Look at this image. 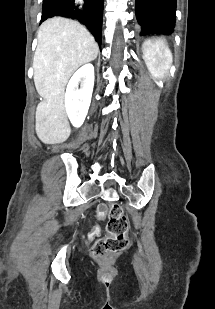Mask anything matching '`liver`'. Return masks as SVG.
Wrapping results in <instances>:
<instances>
[{
    "label": "liver",
    "instance_id": "1",
    "mask_svg": "<svg viewBox=\"0 0 215 309\" xmlns=\"http://www.w3.org/2000/svg\"><path fill=\"white\" fill-rule=\"evenodd\" d=\"M33 58L34 82L42 96L36 108L35 130L46 144L67 140L71 128L64 106L65 86L73 72L91 62L99 46L78 20L53 16L42 22Z\"/></svg>",
    "mask_w": 215,
    "mask_h": 309
}]
</instances>
